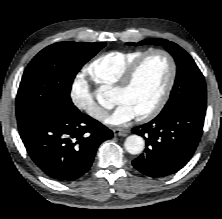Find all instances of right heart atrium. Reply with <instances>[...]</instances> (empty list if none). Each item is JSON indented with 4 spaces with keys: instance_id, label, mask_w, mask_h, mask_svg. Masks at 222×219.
<instances>
[{
    "instance_id": "d8ad5b80",
    "label": "right heart atrium",
    "mask_w": 222,
    "mask_h": 219,
    "mask_svg": "<svg viewBox=\"0 0 222 219\" xmlns=\"http://www.w3.org/2000/svg\"><path fill=\"white\" fill-rule=\"evenodd\" d=\"M69 97L72 104L94 120L101 121L106 111L96 102L90 86L82 75H76L70 85Z\"/></svg>"
}]
</instances>
